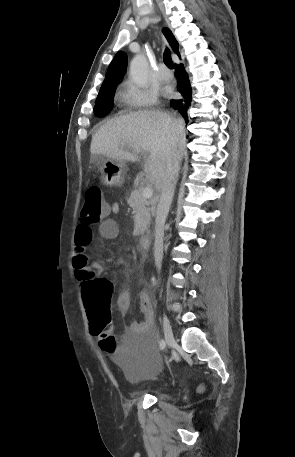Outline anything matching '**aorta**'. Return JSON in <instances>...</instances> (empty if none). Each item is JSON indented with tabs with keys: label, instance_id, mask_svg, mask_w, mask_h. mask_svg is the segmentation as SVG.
<instances>
[{
	"label": "aorta",
	"instance_id": "obj_1",
	"mask_svg": "<svg viewBox=\"0 0 295 457\" xmlns=\"http://www.w3.org/2000/svg\"><path fill=\"white\" fill-rule=\"evenodd\" d=\"M129 75L131 80L141 88L147 86L148 83V63L143 54L134 56L130 63Z\"/></svg>",
	"mask_w": 295,
	"mask_h": 457
}]
</instances>
